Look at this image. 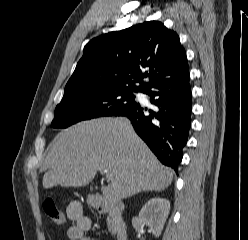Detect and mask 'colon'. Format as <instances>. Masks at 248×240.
Masks as SVG:
<instances>
[{
  "label": "colon",
  "mask_w": 248,
  "mask_h": 240,
  "mask_svg": "<svg viewBox=\"0 0 248 240\" xmlns=\"http://www.w3.org/2000/svg\"><path fill=\"white\" fill-rule=\"evenodd\" d=\"M45 214L56 225H63L65 223L64 212L57 207L53 200H46L43 204Z\"/></svg>",
  "instance_id": "colon-1"
}]
</instances>
